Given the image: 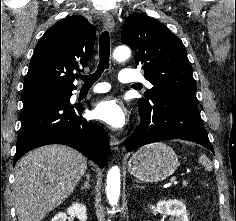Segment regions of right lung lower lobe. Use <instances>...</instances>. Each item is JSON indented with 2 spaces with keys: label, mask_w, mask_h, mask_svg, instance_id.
I'll use <instances>...</instances> for the list:
<instances>
[{
  "label": "right lung lower lobe",
  "mask_w": 236,
  "mask_h": 221,
  "mask_svg": "<svg viewBox=\"0 0 236 221\" xmlns=\"http://www.w3.org/2000/svg\"><path fill=\"white\" fill-rule=\"evenodd\" d=\"M72 91V90H71ZM68 98H41L23 103L13 164L30 150L49 144L73 147L101 168L106 165L109 140L97 124L81 116L82 105Z\"/></svg>",
  "instance_id": "obj_1"
}]
</instances>
